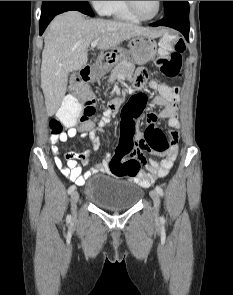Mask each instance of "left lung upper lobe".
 Instances as JSON below:
<instances>
[{
  "label": "left lung upper lobe",
  "instance_id": "obj_1",
  "mask_svg": "<svg viewBox=\"0 0 233 295\" xmlns=\"http://www.w3.org/2000/svg\"><path fill=\"white\" fill-rule=\"evenodd\" d=\"M163 3L166 15L177 10L179 7L188 5V1H163Z\"/></svg>",
  "mask_w": 233,
  "mask_h": 295
}]
</instances>
